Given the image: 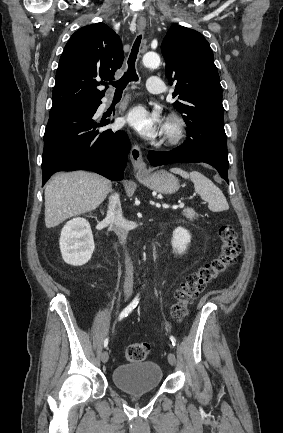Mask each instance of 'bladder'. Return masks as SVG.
<instances>
[{
	"label": "bladder",
	"instance_id": "bladder-1",
	"mask_svg": "<svg viewBox=\"0 0 283 433\" xmlns=\"http://www.w3.org/2000/svg\"><path fill=\"white\" fill-rule=\"evenodd\" d=\"M162 370L154 361H137L114 369L113 384L122 392L152 391L161 384Z\"/></svg>",
	"mask_w": 283,
	"mask_h": 433
}]
</instances>
